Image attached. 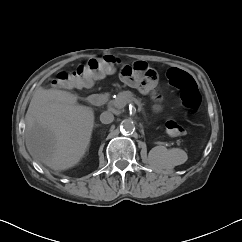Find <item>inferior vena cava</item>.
<instances>
[{"label":"inferior vena cava","instance_id":"inferior-vena-cava-1","mask_svg":"<svg viewBox=\"0 0 242 242\" xmlns=\"http://www.w3.org/2000/svg\"><path fill=\"white\" fill-rule=\"evenodd\" d=\"M113 120H114V115L109 111H104L100 115V121L103 124H110L113 122Z\"/></svg>","mask_w":242,"mask_h":242}]
</instances>
